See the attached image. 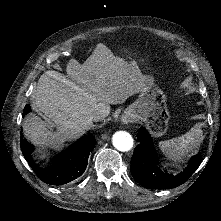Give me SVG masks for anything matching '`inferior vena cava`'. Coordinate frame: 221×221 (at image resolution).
Here are the masks:
<instances>
[{
  "mask_svg": "<svg viewBox=\"0 0 221 221\" xmlns=\"http://www.w3.org/2000/svg\"><path fill=\"white\" fill-rule=\"evenodd\" d=\"M110 111V108L107 106H101L95 111L92 116L90 117V121L93 124V122H98L102 119H104L106 116H108Z\"/></svg>",
  "mask_w": 221,
  "mask_h": 221,
  "instance_id": "inferior-vena-cava-1",
  "label": "inferior vena cava"
}]
</instances>
